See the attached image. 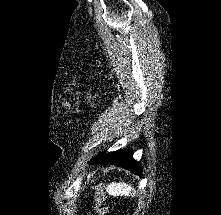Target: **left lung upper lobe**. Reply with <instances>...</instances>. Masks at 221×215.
<instances>
[{"label":"left lung upper lobe","instance_id":"1","mask_svg":"<svg viewBox=\"0 0 221 215\" xmlns=\"http://www.w3.org/2000/svg\"><path fill=\"white\" fill-rule=\"evenodd\" d=\"M100 156H102V154H100V155L96 156L94 159H96V158H98V157H100ZM94 159H92V161H93Z\"/></svg>","mask_w":221,"mask_h":215}]
</instances>
